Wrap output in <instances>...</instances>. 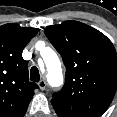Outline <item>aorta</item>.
I'll return each mask as SVG.
<instances>
[{
  "instance_id": "obj_1",
  "label": "aorta",
  "mask_w": 117,
  "mask_h": 117,
  "mask_svg": "<svg viewBox=\"0 0 117 117\" xmlns=\"http://www.w3.org/2000/svg\"><path fill=\"white\" fill-rule=\"evenodd\" d=\"M41 56L47 67L48 80L51 84H59L62 82L61 62L57 54L49 47L42 50Z\"/></svg>"
}]
</instances>
